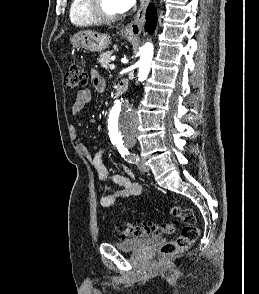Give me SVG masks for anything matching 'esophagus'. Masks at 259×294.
Wrapping results in <instances>:
<instances>
[{"mask_svg": "<svg viewBox=\"0 0 259 294\" xmlns=\"http://www.w3.org/2000/svg\"><path fill=\"white\" fill-rule=\"evenodd\" d=\"M148 3L149 0H140V6L137 14L135 15L134 19L123 29L126 35L137 37L141 33Z\"/></svg>", "mask_w": 259, "mask_h": 294, "instance_id": "1", "label": "esophagus"}]
</instances>
